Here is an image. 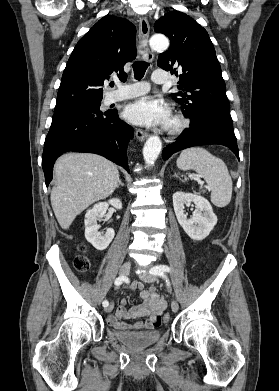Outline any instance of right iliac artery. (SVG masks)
<instances>
[{
  "mask_svg": "<svg viewBox=\"0 0 279 391\" xmlns=\"http://www.w3.org/2000/svg\"><path fill=\"white\" fill-rule=\"evenodd\" d=\"M122 282H123V277H118V278H116L114 284H115L116 286H119V285L122 284ZM108 304H109V302H108L107 300L103 301V306H104V307L108 306Z\"/></svg>",
  "mask_w": 279,
  "mask_h": 391,
  "instance_id": "82829eb1",
  "label": "right iliac artery"
}]
</instances>
